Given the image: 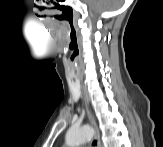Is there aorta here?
I'll list each match as a JSON object with an SVG mask.
<instances>
[{
    "mask_svg": "<svg viewBox=\"0 0 163 147\" xmlns=\"http://www.w3.org/2000/svg\"><path fill=\"white\" fill-rule=\"evenodd\" d=\"M94 135V130L87 125L70 128L65 137L66 145L69 147H77L80 144H83L89 141Z\"/></svg>",
    "mask_w": 163,
    "mask_h": 147,
    "instance_id": "aorta-1",
    "label": "aorta"
}]
</instances>
